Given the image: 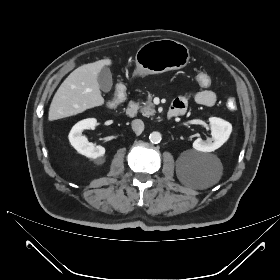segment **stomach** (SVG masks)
Masks as SVG:
<instances>
[{
	"label": "stomach",
	"instance_id": "1",
	"mask_svg": "<svg viewBox=\"0 0 280 280\" xmlns=\"http://www.w3.org/2000/svg\"><path fill=\"white\" fill-rule=\"evenodd\" d=\"M189 49L172 39L153 40L142 45L135 56V74H158L185 67L189 62Z\"/></svg>",
	"mask_w": 280,
	"mask_h": 280
}]
</instances>
